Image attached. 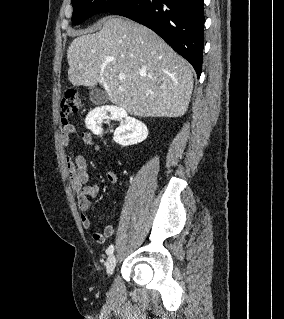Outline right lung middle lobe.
Instances as JSON below:
<instances>
[{"label": "right lung middle lobe", "instance_id": "1", "mask_svg": "<svg viewBox=\"0 0 284 319\" xmlns=\"http://www.w3.org/2000/svg\"><path fill=\"white\" fill-rule=\"evenodd\" d=\"M130 0H71L73 5L72 22L78 25L89 17L100 13L111 11L125 5Z\"/></svg>", "mask_w": 284, "mask_h": 319}]
</instances>
